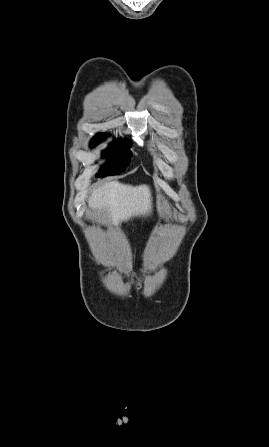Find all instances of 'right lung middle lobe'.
<instances>
[{
    "mask_svg": "<svg viewBox=\"0 0 269 447\" xmlns=\"http://www.w3.org/2000/svg\"><path fill=\"white\" fill-rule=\"evenodd\" d=\"M108 136L106 133H99L95 135L91 141V146L94 147ZM130 142L123 139H117L111 142L110 146L103 151V156L107 157V163L104 164L96 177H104L107 175H115L123 171L131 161L132 152L129 150Z\"/></svg>",
    "mask_w": 269,
    "mask_h": 447,
    "instance_id": "right-lung-middle-lobe-1",
    "label": "right lung middle lobe"
}]
</instances>
